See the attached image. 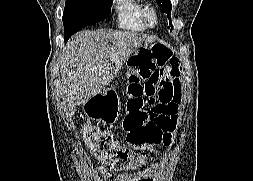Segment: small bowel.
Instances as JSON below:
<instances>
[{
  "mask_svg": "<svg viewBox=\"0 0 253 181\" xmlns=\"http://www.w3.org/2000/svg\"><path fill=\"white\" fill-rule=\"evenodd\" d=\"M132 68L140 76L146 93H161L169 97V113L176 118L180 101L179 69L159 65L149 53L137 54L133 58ZM154 172V168H147L134 174L121 175L116 181H153Z\"/></svg>",
  "mask_w": 253,
  "mask_h": 181,
  "instance_id": "obj_1",
  "label": "small bowel"
}]
</instances>
